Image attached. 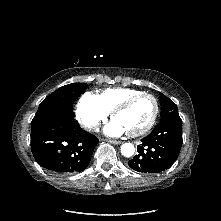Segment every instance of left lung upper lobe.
<instances>
[{"label":"left lung upper lobe","mask_w":221,"mask_h":221,"mask_svg":"<svg viewBox=\"0 0 221 221\" xmlns=\"http://www.w3.org/2000/svg\"><path fill=\"white\" fill-rule=\"evenodd\" d=\"M160 103H161V120L166 119L168 117L179 116L176 104L162 93L160 94Z\"/></svg>","instance_id":"5c2ea615"}]
</instances>
